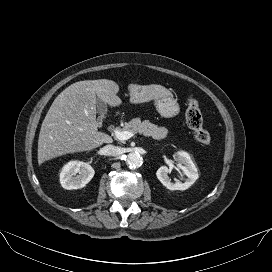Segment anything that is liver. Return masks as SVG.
<instances>
[{
  "mask_svg": "<svg viewBox=\"0 0 272 272\" xmlns=\"http://www.w3.org/2000/svg\"><path fill=\"white\" fill-rule=\"evenodd\" d=\"M119 85L113 80H84L71 84L53 101L41 125L38 140V163L68 153L93 150L112 138L98 131L97 98L111 107L120 106ZM131 104H141L172 96L157 84L128 85Z\"/></svg>",
  "mask_w": 272,
  "mask_h": 272,
  "instance_id": "liver-1",
  "label": "liver"
}]
</instances>
